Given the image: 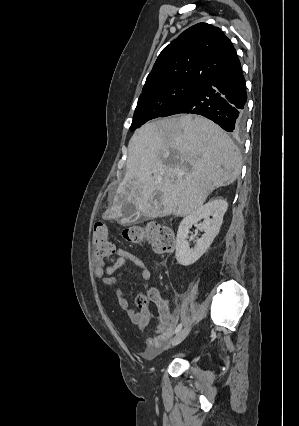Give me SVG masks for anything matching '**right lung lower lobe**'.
Listing matches in <instances>:
<instances>
[{"label":"right lung lower lobe","instance_id":"98d812e1","mask_svg":"<svg viewBox=\"0 0 299 426\" xmlns=\"http://www.w3.org/2000/svg\"><path fill=\"white\" fill-rule=\"evenodd\" d=\"M246 101L245 79L240 61L237 60L173 105L161 117L180 113L199 114L226 131L239 134L245 125Z\"/></svg>","mask_w":299,"mask_h":426}]
</instances>
